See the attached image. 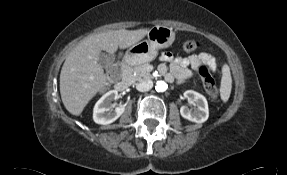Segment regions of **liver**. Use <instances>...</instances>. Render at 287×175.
Listing matches in <instances>:
<instances>
[{
  "instance_id": "obj_1",
  "label": "liver",
  "mask_w": 287,
  "mask_h": 175,
  "mask_svg": "<svg viewBox=\"0 0 287 175\" xmlns=\"http://www.w3.org/2000/svg\"><path fill=\"white\" fill-rule=\"evenodd\" d=\"M148 29L116 30L91 35L67 56L60 73V94L65 108L80 115L88 102L107 85V76L98 63L100 52L114 54L142 40Z\"/></svg>"
}]
</instances>
